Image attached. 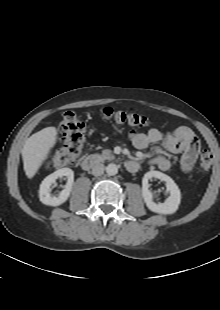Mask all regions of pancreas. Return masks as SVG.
<instances>
[{"mask_svg": "<svg viewBox=\"0 0 220 310\" xmlns=\"http://www.w3.org/2000/svg\"><path fill=\"white\" fill-rule=\"evenodd\" d=\"M101 157L103 159H113L114 158V156L112 154V151L109 150V149L103 150L102 154H101Z\"/></svg>", "mask_w": 220, "mask_h": 310, "instance_id": "1", "label": "pancreas"}]
</instances>
